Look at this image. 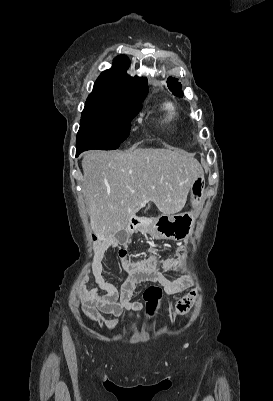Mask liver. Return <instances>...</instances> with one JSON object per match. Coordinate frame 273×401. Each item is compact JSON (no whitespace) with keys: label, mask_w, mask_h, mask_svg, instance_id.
I'll list each match as a JSON object with an SVG mask.
<instances>
[{"label":"liver","mask_w":273,"mask_h":401,"mask_svg":"<svg viewBox=\"0 0 273 401\" xmlns=\"http://www.w3.org/2000/svg\"><path fill=\"white\" fill-rule=\"evenodd\" d=\"M84 196L98 241H114L149 201L163 215L186 205L187 194L203 168L181 148L89 150L83 156Z\"/></svg>","instance_id":"liver-1"}]
</instances>
